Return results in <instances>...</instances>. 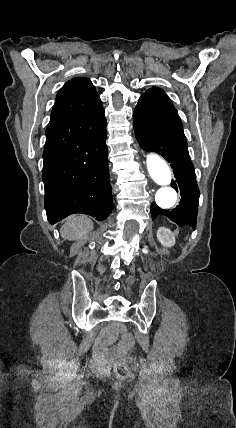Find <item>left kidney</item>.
<instances>
[{
    "label": "left kidney",
    "instance_id": "1",
    "mask_svg": "<svg viewBox=\"0 0 236 428\" xmlns=\"http://www.w3.org/2000/svg\"><path fill=\"white\" fill-rule=\"evenodd\" d=\"M157 238L160 244L167 246V248H170V246H174L175 244V238L168 228H159Z\"/></svg>",
    "mask_w": 236,
    "mask_h": 428
}]
</instances>
